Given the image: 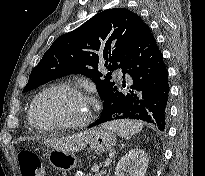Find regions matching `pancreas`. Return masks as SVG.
I'll return each mask as SVG.
<instances>
[{
    "mask_svg": "<svg viewBox=\"0 0 205 176\" xmlns=\"http://www.w3.org/2000/svg\"><path fill=\"white\" fill-rule=\"evenodd\" d=\"M95 171L98 169V166H94ZM106 173V171H101L97 173L95 176H103Z\"/></svg>",
    "mask_w": 205,
    "mask_h": 176,
    "instance_id": "cf45deb5",
    "label": "pancreas"
}]
</instances>
